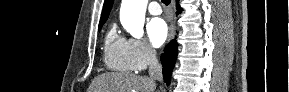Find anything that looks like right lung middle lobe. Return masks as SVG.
Returning a JSON list of instances; mask_svg holds the SVG:
<instances>
[{
    "label": "right lung middle lobe",
    "mask_w": 289,
    "mask_h": 92,
    "mask_svg": "<svg viewBox=\"0 0 289 92\" xmlns=\"http://www.w3.org/2000/svg\"><path fill=\"white\" fill-rule=\"evenodd\" d=\"M102 25H103V24H100V25H99V30L101 29Z\"/></svg>",
    "instance_id": "obj_1"
}]
</instances>
